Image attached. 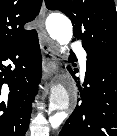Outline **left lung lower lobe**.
I'll return each mask as SVG.
<instances>
[{
  "label": "left lung lower lobe",
  "mask_w": 117,
  "mask_h": 136,
  "mask_svg": "<svg viewBox=\"0 0 117 136\" xmlns=\"http://www.w3.org/2000/svg\"><path fill=\"white\" fill-rule=\"evenodd\" d=\"M79 90V103L59 136H117V58L87 54Z\"/></svg>",
  "instance_id": "left-lung-lower-lobe-1"
}]
</instances>
